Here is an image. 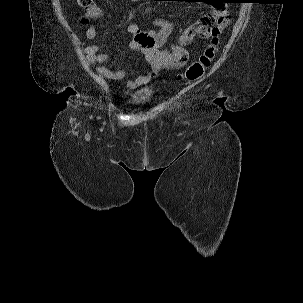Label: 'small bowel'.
<instances>
[{
    "instance_id": "obj_1",
    "label": "small bowel",
    "mask_w": 303,
    "mask_h": 303,
    "mask_svg": "<svg viewBox=\"0 0 303 303\" xmlns=\"http://www.w3.org/2000/svg\"><path fill=\"white\" fill-rule=\"evenodd\" d=\"M133 2L139 0H131ZM104 11L99 5H91L87 9L86 16L90 20L103 16ZM229 15L226 8L214 9L205 14L199 21L189 26L178 38L176 42H169L173 27L164 19H155L152 24L154 29L149 32H142L135 23L129 24L127 32L134 36L130 43L132 50L144 55L148 64L145 74L135 80L127 82V87L137 89L150 84L157 77L162 69H178L185 65L188 60V51L185 46L199 37H209L212 34H220L222 29L228 24ZM87 36L94 38L96 29L91 25L87 30ZM149 39V41H146ZM168 45V48H164ZM103 45L95 44L85 48L88 61L96 65L98 74L106 79L118 81L125 77V72L118 66L113 70L105 65L112 61L107 54L99 53Z\"/></svg>"
}]
</instances>
